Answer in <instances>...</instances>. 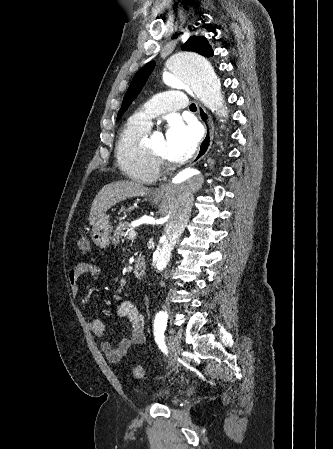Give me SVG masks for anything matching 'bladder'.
I'll list each match as a JSON object with an SVG mask.
<instances>
[{
  "mask_svg": "<svg viewBox=\"0 0 333 449\" xmlns=\"http://www.w3.org/2000/svg\"><path fill=\"white\" fill-rule=\"evenodd\" d=\"M156 396L160 399L166 400L171 396V393L167 390L160 391L156 394Z\"/></svg>",
  "mask_w": 333,
  "mask_h": 449,
  "instance_id": "31cf9c89",
  "label": "bladder"
}]
</instances>
